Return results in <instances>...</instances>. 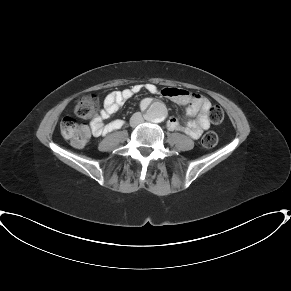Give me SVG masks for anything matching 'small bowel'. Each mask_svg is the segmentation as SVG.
Instances as JSON below:
<instances>
[{"mask_svg": "<svg viewBox=\"0 0 291 291\" xmlns=\"http://www.w3.org/2000/svg\"><path fill=\"white\" fill-rule=\"evenodd\" d=\"M145 90L149 93L159 94L162 97L171 99L177 103L187 105L186 116L189 118L181 124L178 119L171 117L167 121V127L170 131H181L193 139H199L201 135L209 129L210 120L208 111L210 109L209 101L201 94H191L188 91L176 88H159L154 83L136 84L129 89L122 91H112L104 99V108L100 115L91 121L92 132L95 136H104L108 133L122 127L120 120L104 124L103 120L109 115L116 113L124 103L134 94ZM150 104L148 99L141 103L143 109Z\"/></svg>", "mask_w": 291, "mask_h": 291, "instance_id": "c3829d8e", "label": "small bowel"}]
</instances>
